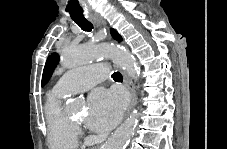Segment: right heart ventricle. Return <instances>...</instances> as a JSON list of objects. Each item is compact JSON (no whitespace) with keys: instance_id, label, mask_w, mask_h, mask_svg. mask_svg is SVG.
<instances>
[{"instance_id":"obj_1","label":"right heart ventricle","mask_w":227,"mask_h":149,"mask_svg":"<svg viewBox=\"0 0 227 149\" xmlns=\"http://www.w3.org/2000/svg\"><path fill=\"white\" fill-rule=\"evenodd\" d=\"M65 96L53 90L48 94L44 106L48 144L52 149H73L78 145L77 127L62 110Z\"/></svg>"}]
</instances>
